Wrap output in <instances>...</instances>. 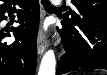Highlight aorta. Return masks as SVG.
Masks as SVG:
<instances>
[{
	"instance_id": "aorta-1",
	"label": "aorta",
	"mask_w": 107,
	"mask_h": 75,
	"mask_svg": "<svg viewBox=\"0 0 107 75\" xmlns=\"http://www.w3.org/2000/svg\"><path fill=\"white\" fill-rule=\"evenodd\" d=\"M56 59L53 50L47 51L41 61L38 75H55Z\"/></svg>"
}]
</instances>
